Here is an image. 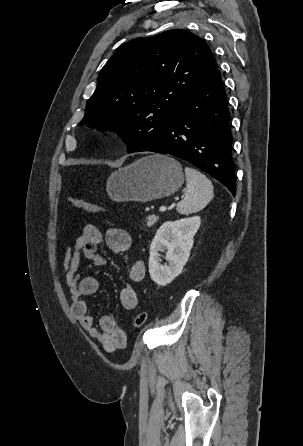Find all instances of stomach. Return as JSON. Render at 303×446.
Instances as JSON below:
<instances>
[{"label": "stomach", "instance_id": "stomach-1", "mask_svg": "<svg viewBox=\"0 0 303 446\" xmlns=\"http://www.w3.org/2000/svg\"><path fill=\"white\" fill-rule=\"evenodd\" d=\"M183 182L178 161L154 154L112 173L107 180V193L115 202H148L173 194Z\"/></svg>", "mask_w": 303, "mask_h": 446}]
</instances>
